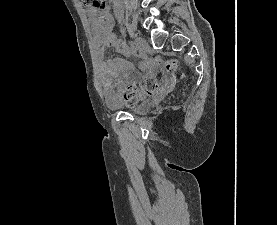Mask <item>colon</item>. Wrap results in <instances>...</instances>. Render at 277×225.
<instances>
[{"label": "colon", "mask_w": 277, "mask_h": 225, "mask_svg": "<svg viewBox=\"0 0 277 225\" xmlns=\"http://www.w3.org/2000/svg\"><path fill=\"white\" fill-rule=\"evenodd\" d=\"M80 3L91 10H94L98 13L104 12L106 9L104 0H79ZM157 64L163 67L167 71L174 70L177 66V62L174 60H157ZM162 83V77L149 75L145 77L142 82L139 84H133L127 86L126 88L120 91V98L127 104H133L139 101L140 99L153 95L159 91Z\"/></svg>", "instance_id": "1"}]
</instances>
